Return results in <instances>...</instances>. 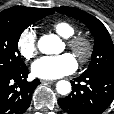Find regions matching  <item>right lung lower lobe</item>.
<instances>
[{
	"instance_id": "obj_1",
	"label": "right lung lower lobe",
	"mask_w": 114,
	"mask_h": 114,
	"mask_svg": "<svg viewBox=\"0 0 114 114\" xmlns=\"http://www.w3.org/2000/svg\"><path fill=\"white\" fill-rule=\"evenodd\" d=\"M27 66L11 74H0V114H23L31 104L32 93L40 83L28 82Z\"/></svg>"
}]
</instances>
